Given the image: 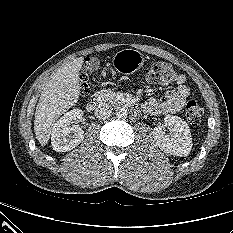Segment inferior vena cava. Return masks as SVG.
Returning a JSON list of instances; mask_svg holds the SVG:
<instances>
[{"instance_id":"1","label":"inferior vena cava","mask_w":233,"mask_h":233,"mask_svg":"<svg viewBox=\"0 0 233 233\" xmlns=\"http://www.w3.org/2000/svg\"><path fill=\"white\" fill-rule=\"evenodd\" d=\"M112 115V109L106 103H101L95 110V116L98 119H107Z\"/></svg>"}]
</instances>
